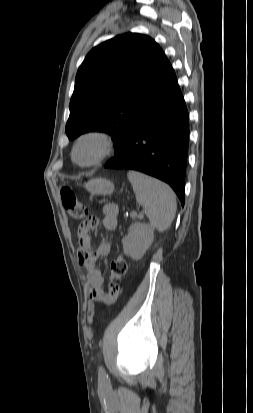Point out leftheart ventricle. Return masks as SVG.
<instances>
[{
  "instance_id": "b2bd125f",
  "label": "left heart ventricle",
  "mask_w": 253,
  "mask_h": 413,
  "mask_svg": "<svg viewBox=\"0 0 253 413\" xmlns=\"http://www.w3.org/2000/svg\"><path fill=\"white\" fill-rule=\"evenodd\" d=\"M98 144L93 140H87L78 147L76 157L80 162L91 161L98 153Z\"/></svg>"
}]
</instances>
